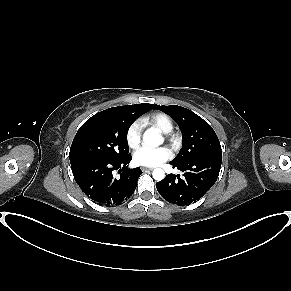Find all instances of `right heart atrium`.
<instances>
[{
	"mask_svg": "<svg viewBox=\"0 0 291 291\" xmlns=\"http://www.w3.org/2000/svg\"><path fill=\"white\" fill-rule=\"evenodd\" d=\"M143 126L139 120L133 121L126 130V142L131 148L139 145L142 139Z\"/></svg>",
	"mask_w": 291,
	"mask_h": 291,
	"instance_id": "obj_1",
	"label": "right heart atrium"
}]
</instances>
